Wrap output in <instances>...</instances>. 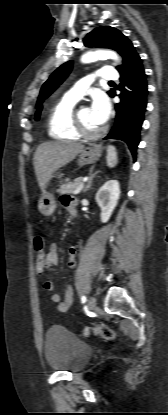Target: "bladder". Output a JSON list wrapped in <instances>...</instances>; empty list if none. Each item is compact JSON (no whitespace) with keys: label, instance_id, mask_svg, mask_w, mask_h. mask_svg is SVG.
<instances>
[{"label":"bladder","instance_id":"31cf9c89","mask_svg":"<svg viewBox=\"0 0 168 415\" xmlns=\"http://www.w3.org/2000/svg\"><path fill=\"white\" fill-rule=\"evenodd\" d=\"M92 355V348L68 329L55 325L47 330L44 340V356L51 369L78 372L88 364Z\"/></svg>","mask_w":168,"mask_h":415}]
</instances>
